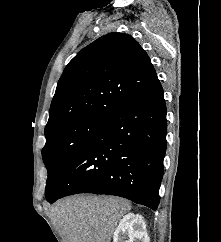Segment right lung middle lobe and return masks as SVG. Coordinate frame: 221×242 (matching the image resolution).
I'll use <instances>...</instances> for the list:
<instances>
[{
    "label": "right lung middle lobe",
    "instance_id": "1",
    "mask_svg": "<svg viewBox=\"0 0 221 242\" xmlns=\"http://www.w3.org/2000/svg\"><path fill=\"white\" fill-rule=\"evenodd\" d=\"M102 122L103 119L84 118L45 132L46 144L42 149V157L48 171L46 199L69 161Z\"/></svg>",
    "mask_w": 221,
    "mask_h": 242
}]
</instances>
